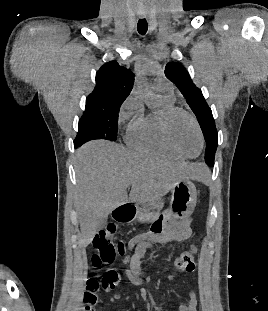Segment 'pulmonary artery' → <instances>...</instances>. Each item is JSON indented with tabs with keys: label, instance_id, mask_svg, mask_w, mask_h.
<instances>
[{
	"label": "pulmonary artery",
	"instance_id": "obj_1",
	"mask_svg": "<svg viewBox=\"0 0 268 311\" xmlns=\"http://www.w3.org/2000/svg\"><path fill=\"white\" fill-rule=\"evenodd\" d=\"M154 89L158 92L164 93L165 95L172 96V85L166 79H156L154 81Z\"/></svg>",
	"mask_w": 268,
	"mask_h": 311
}]
</instances>
